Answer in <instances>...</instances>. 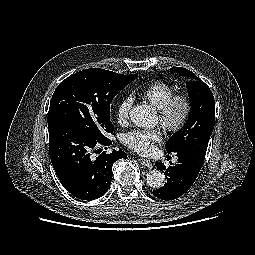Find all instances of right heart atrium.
I'll use <instances>...</instances> for the list:
<instances>
[{
    "label": "right heart atrium",
    "mask_w": 255,
    "mask_h": 255,
    "mask_svg": "<svg viewBox=\"0 0 255 255\" xmlns=\"http://www.w3.org/2000/svg\"><path fill=\"white\" fill-rule=\"evenodd\" d=\"M133 104V98L131 96L124 97L117 105L116 117L119 122H125L130 114V110Z\"/></svg>",
    "instance_id": "d8ad5b80"
}]
</instances>
